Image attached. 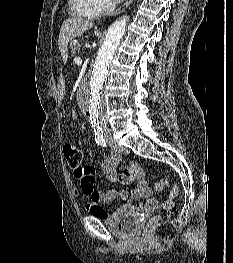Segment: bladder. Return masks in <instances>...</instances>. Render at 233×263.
Masks as SVG:
<instances>
[{
	"label": "bladder",
	"instance_id": "bladder-1",
	"mask_svg": "<svg viewBox=\"0 0 233 263\" xmlns=\"http://www.w3.org/2000/svg\"><path fill=\"white\" fill-rule=\"evenodd\" d=\"M139 222V215L135 210L119 208L105 223L108 229L120 238H131L135 235Z\"/></svg>",
	"mask_w": 233,
	"mask_h": 263
}]
</instances>
